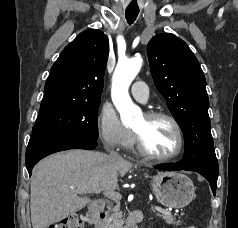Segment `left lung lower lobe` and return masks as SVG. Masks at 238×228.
I'll use <instances>...</instances> for the list:
<instances>
[{"mask_svg": "<svg viewBox=\"0 0 238 228\" xmlns=\"http://www.w3.org/2000/svg\"><path fill=\"white\" fill-rule=\"evenodd\" d=\"M156 168L161 170H166V171L187 170V171L198 172L208 180L211 186V189L213 191V194L214 195L216 194L219 167H210V166H204V165L183 166L180 163H178L177 165L156 166Z\"/></svg>", "mask_w": 238, "mask_h": 228, "instance_id": "1", "label": "left lung lower lobe"}]
</instances>
